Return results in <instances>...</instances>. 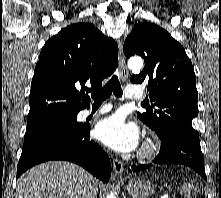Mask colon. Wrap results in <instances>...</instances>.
Here are the masks:
<instances>
[{
	"label": "colon",
	"mask_w": 221,
	"mask_h": 198,
	"mask_svg": "<svg viewBox=\"0 0 221 198\" xmlns=\"http://www.w3.org/2000/svg\"><path fill=\"white\" fill-rule=\"evenodd\" d=\"M184 192V195L186 198H195L194 195H193V192L191 190V188L189 186H186L183 190Z\"/></svg>",
	"instance_id": "1"
}]
</instances>
